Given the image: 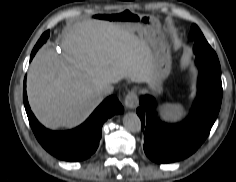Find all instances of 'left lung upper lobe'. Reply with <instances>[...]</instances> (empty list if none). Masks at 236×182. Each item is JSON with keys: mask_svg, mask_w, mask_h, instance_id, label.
I'll use <instances>...</instances> for the list:
<instances>
[{"mask_svg": "<svg viewBox=\"0 0 236 182\" xmlns=\"http://www.w3.org/2000/svg\"><path fill=\"white\" fill-rule=\"evenodd\" d=\"M189 39L195 42L194 53L197 57L198 67L202 70L221 75V67L215 51L195 24L191 27Z\"/></svg>", "mask_w": 236, "mask_h": 182, "instance_id": "obj_1", "label": "left lung upper lobe"}]
</instances>
